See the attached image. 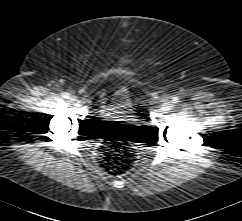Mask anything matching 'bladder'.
I'll list each match as a JSON object with an SVG mask.
<instances>
[{
    "instance_id": "obj_1",
    "label": "bladder",
    "mask_w": 242,
    "mask_h": 221,
    "mask_svg": "<svg viewBox=\"0 0 242 221\" xmlns=\"http://www.w3.org/2000/svg\"><path fill=\"white\" fill-rule=\"evenodd\" d=\"M133 110V107L130 104L122 102H113L108 107V113L113 114H127Z\"/></svg>"
}]
</instances>
